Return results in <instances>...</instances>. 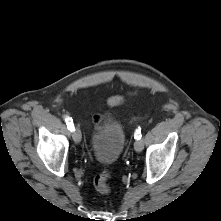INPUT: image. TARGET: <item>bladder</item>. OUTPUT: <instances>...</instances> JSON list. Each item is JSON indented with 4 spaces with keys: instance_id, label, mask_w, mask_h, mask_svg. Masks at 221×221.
Listing matches in <instances>:
<instances>
[{
    "instance_id": "obj_1",
    "label": "bladder",
    "mask_w": 221,
    "mask_h": 221,
    "mask_svg": "<svg viewBox=\"0 0 221 221\" xmlns=\"http://www.w3.org/2000/svg\"><path fill=\"white\" fill-rule=\"evenodd\" d=\"M125 144V130L118 121L102 122L92 137L95 158L103 164H112L120 156Z\"/></svg>"
}]
</instances>
